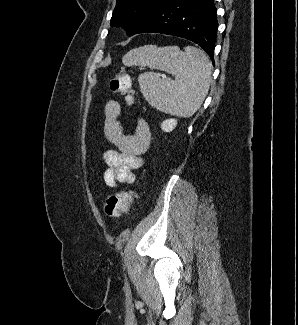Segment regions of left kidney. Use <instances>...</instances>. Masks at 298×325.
I'll list each match as a JSON object with an SVG mask.
<instances>
[{
	"mask_svg": "<svg viewBox=\"0 0 298 325\" xmlns=\"http://www.w3.org/2000/svg\"><path fill=\"white\" fill-rule=\"evenodd\" d=\"M177 126V118H166L161 122V128L164 132H171Z\"/></svg>",
	"mask_w": 298,
	"mask_h": 325,
	"instance_id": "1",
	"label": "left kidney"
}]
</instances>
